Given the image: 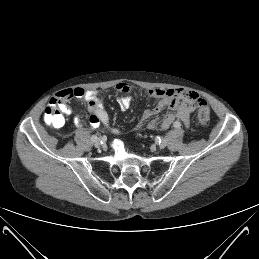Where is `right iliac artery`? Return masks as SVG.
Returning <instances> with one entry per match:
<instances>
[{
  "instance_id": "right-iliac-artery-1",
  "label": "right iliac artery",
  "mask_w": 259,
  "mask_h": 259,
  "mask_svg": "<svg viewBox=\"0 0 259 259\" xmlns=\"http://www.w3.org/2000/svg\"><path fill=\"white\" fill-rule=\"evenodd\" d=\"M96 139H97V136H96V135H92V136H91V140H92V141H95Z\"/></svg>"
}]
</instances>
